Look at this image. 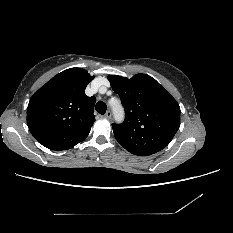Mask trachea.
<instances>
[{
	"instance_id": "3493384b",
	"label": "trachea",
	"mask_w": 233,
	"mask_h": 233,
	"mask_svg": "<svg viewBox=\"0 0 233 233\" xmlns=\"http://www.w3.org/2000/svg\"><path fill=\"white\" fill-rule=\"evenodd\" d=\"M95 109L98 113H100L101 115L105 114L106 110H107V106L103 101H98Z\"/></svg>"
}]
</instances>
